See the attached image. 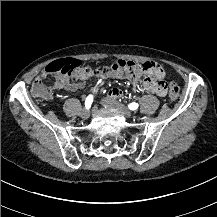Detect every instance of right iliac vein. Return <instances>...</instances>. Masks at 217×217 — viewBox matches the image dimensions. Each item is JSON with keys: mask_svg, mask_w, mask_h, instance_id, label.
I'll return each instance as SVG.
<instances>
[{"mask_svg": "<svg viewBox=\"0 0 217 217\" xmlns=\"http://www.w3.org/2000/svg\"><path fill=\"white\" fill-rule=\"evenodd\" d=\"M89 116H90V111L88 109H84L81 113V117L87 119L89 118Z\"/></svg>", "mask_w": 217, "mask_h": 217, "instance_id": "obj_1", "label": "right iliac vein"}]
</instances>
